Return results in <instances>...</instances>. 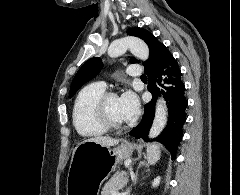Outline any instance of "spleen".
Wrapping results in <instances>:
<instances>
[{
	"instance_id": "obj_1",
	"label": "spleen",
	"mask_w": 240,
	"mask_h": 195,
	"mask_svg": "<svg viewBox=\"0 0 240 195\" xmlns=\"http://www.w3.org/2000/svg\"><path fill=\"white\" fill-rule=\"evenodd\" d=\"M161 151L159 143H149L147 147V161L149 165H155L160 159Z\"/></svg>"
}]
</instances>
